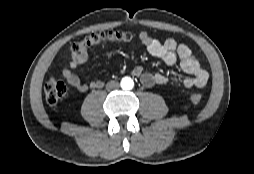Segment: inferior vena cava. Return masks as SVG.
I'll use <instances>...</instances> for the list:
<instances>
[{
	"label": "inferior vena cava",
	"mask_w": 254,
	"mask_h": 174,
	"mask_svg": "<svg viewBox=\"0 0 254 174\" xmlns=\"http://www.w3.org/2000/svg\"><path fill=\"white\" fill-rule=\"evenodd\" d=\"M119 88V83L116 81H110L106 85L108 91L117 90Z\"/></svg>",
	"instance_id": "1"
}]
</instances>
